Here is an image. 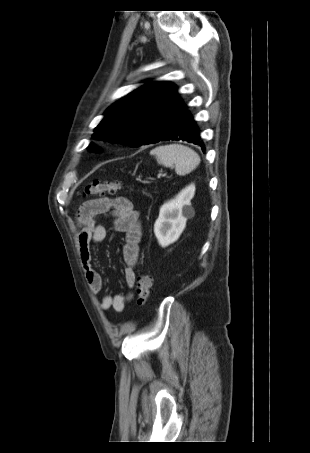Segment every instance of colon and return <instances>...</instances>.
<instances>
[{
	"instance_id": "colon-1",
	"label": "colon",
	"mask_w": 310,
	"mask_h": 453,
	"mask_svg": "<svg viewBox=\"0 0 310 453\" xmlns=\"http://www.w3.org/2000/svg\"><path fill=\"white\" fill-rule=\"evenodd\" d=\"M122 188V184L119 181H98L94 180L90 182L83 191L84 196H97L104 194H115ZM152 277L150 274L144 272L140 274L137 280L136 287V301L139 305H144L151 292Z\"/></svg>"
}]
</instances>
